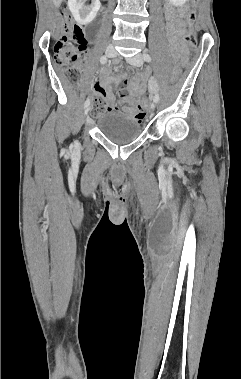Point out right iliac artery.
Returning a JSON list of instances; mask_svg holds the SVG:
<instances>
[{"instance_id":"right-iliac-artery-1","label":"right iliac artery","mask_w":241,"mask_h":379,"mask_svg":"<svg viewBox=\"0 0 241 379\" xmlns=\"http://www.w3.org/2000/svg\"><path fill=\"white\" fill-rule=\"evenodd\" d=\"M100 62H101V64H105L107 62V57L106 56H101ZM89 104H90V99H87L85 101V107L89 106Z\"/></svg>"}]
</instances>
